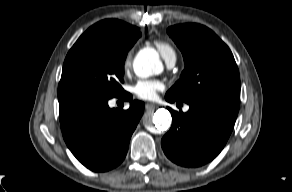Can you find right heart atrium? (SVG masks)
Masks as SVG:
<instances>
[{
	"label": "right heart atrium",
	"mask_w": 292,
	"mask_h": 192,
	"mask_svg": "<svg viewBox=\"0 0 292 192\" xmlns=\"http://www.w3.org/2000/svg\"><path fill=\"white\" fill-rule=\"evenodd\" d=\"M132 58H133V51L129 50L123 60V69L125 71L130 69L131 64H132Z\"/></svg>",
	"instance_id": "right-heart-atrium-1"
}]
</instances>
